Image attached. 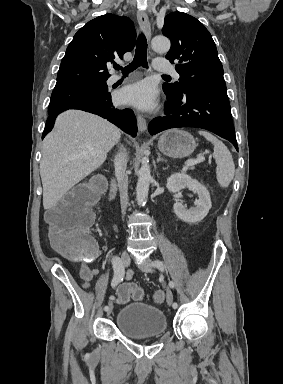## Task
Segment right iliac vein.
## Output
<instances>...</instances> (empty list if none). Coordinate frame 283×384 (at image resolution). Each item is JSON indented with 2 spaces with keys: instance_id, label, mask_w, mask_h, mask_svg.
Returning <instances> with one entry per match:
<instances>
[{
  "instance_id": "1",
  "label": "right iliac vein",
  "mask_w": 283,
  "mask_h": 384,
  "mask_svg": "<svg viewBox=\"0 0 283 384\" xmlns=\"http://www.w3.org/2000/svg\"><path fill=\"white\" fill-rule=\"evenodd\" d=\"M129 262H130V256H129L128 252L123 251L121 254V263L123 264V266H128ZM111 312H112V306H110L109 309L106 310V314L110 315Z\"/></svg>"
}]
</instances>
